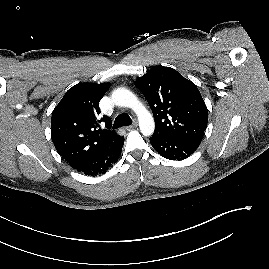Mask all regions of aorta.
<instances>
[{
  "label": "aorta",
  "mask_w": 269,
  "mask_h": 269,
  "mask_svg": "<svg viewBox=\"0 0 269 269\" xmlns=\"http://www.w3.org/2000/svg\"><path fill=\"white\" fill-rule=\"evenodd\" d=\"M112 99L117 106L131 108L137 114L140 131L144 136L153 134L155 123L151 113L131 91L118 88L112 93Z\"/></svg>",
  "instance_id": "762f6f07"
}]
</instances>
